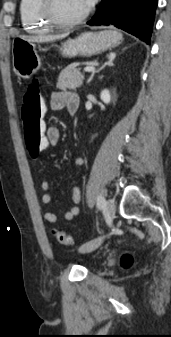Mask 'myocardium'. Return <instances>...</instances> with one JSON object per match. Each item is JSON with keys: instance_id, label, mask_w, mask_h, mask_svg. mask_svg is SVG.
I'll use <instances>...</instances> for the list:
<instances>
[{"instance_id": "obj_1", "label": "myocardium", "mask_w": 171, "mask_h": 337, "mask_svg": "<svg viewBox=\"0 0 171 337\" xmlns=\"http://www.w3.org/2000/svg\"><path fill=\"white\" fill-rule=\"evenodd\" d=\"M41 9L43 17L53 26L56 27H72L75 26L82 21H84L89 13L90 8H87L83 13L79 16L71 19L61 18L55 9V0H41Z\"/></svg>"}]
</instances>
